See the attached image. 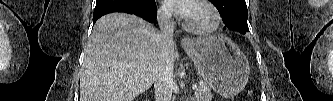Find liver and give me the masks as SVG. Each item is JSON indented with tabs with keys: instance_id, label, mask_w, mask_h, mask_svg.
<instances>
[{
	"instance_id": "liver-1",
	"label": "liver",
	"mask_w": 333,
	"mask_h": 101,
	"mask_svg": "<svg viewBox=\"0 0 333 101\" xmlns=\"http://www.w3.org/2000/svg\"><path fill=\"white\" fill-rule=\"evenodd\" d=\"M160 33L134 15L111 13L94 26L80 73V101H133L155 82ZM177 48L171 50L174 61Z\"/></svg>"
}]
</instances>
